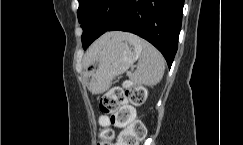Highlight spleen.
<instances>
[{"label":"spleen","mask_w":243,"mask_h":145,"mask_svg":"<svg viewBox=\"0 0 243 145\" xmlns=\"http://www.w3.org/2000/svg\"><path fill=\"white\" fill-rule=\"evenodd\" d=\"M141 46L142 54L139 57L137 68L129 78L137 84L154 86L163 77L164 59L161 53L147 41L141 40Z\"/></svg>","instance_id":"3e777b00"}]
</instances>
